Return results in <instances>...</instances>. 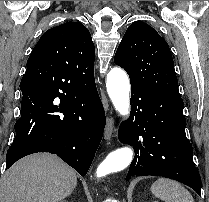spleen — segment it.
I'll list each match as a JSON object with an SVG mask.
<instances>
[{
  "label": "spleen",
  "instance_id": "obj_1",
  "mask_svg": "<svg viewBox=\"0 0 209 202\" xmlns=\"http://www.w3.org/2000/svg\"><path fill=\"white\" fill-rule=\"evenodd\" d=\"M153 195L164 202H194L190 192L180 183L159 178L151 185Z\"/></svg>",
  "mask_w": 209,
  "mask_h": 202
}]
</instances>
